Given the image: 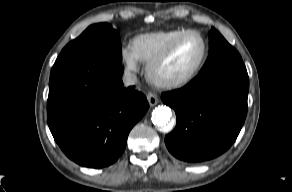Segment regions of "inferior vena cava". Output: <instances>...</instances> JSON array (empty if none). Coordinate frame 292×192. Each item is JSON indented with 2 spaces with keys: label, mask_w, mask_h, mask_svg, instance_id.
<instances>
[{
  "label": "inferior vena cava",
  "mask_w": 292,
  "mask_h": 192,
  "mask_svg": "<svg viewBox=\"0 0 292 192\" xmlns=\"http://www.w3.org/2000/svg\"><path fill=\"white\" fill-rule=\"evenodd\" d=\"M122 80L125 86L135 85L137 83V76L134 73L125 72Z\"/></svg>",
  "instance_id": "inferior-vena-cava-1"
}]
</instances>
